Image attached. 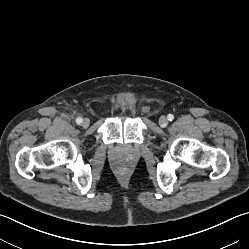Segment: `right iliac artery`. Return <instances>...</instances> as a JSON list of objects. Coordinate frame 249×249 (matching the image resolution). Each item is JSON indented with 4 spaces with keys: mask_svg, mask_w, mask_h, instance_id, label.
<instances>
[{
    "mask_svg": "<svg viewBox=\"0 0 249 249\" xmlns=\"http://www.w3.org/2000/svg\"><path fill=\"white\" fill-rule=\"evenodd\" d=\"M82 121H83V120H82V118H80V117L76 119V123H77L78 125L82 124Z\"/></svg>",
    "mask_w": 249,
    "mask_h": 249,
    "instance_id": "right-iliac-artery-1",
    "label": "right iliac artery"
}]
</instances>
